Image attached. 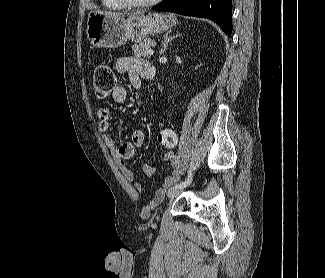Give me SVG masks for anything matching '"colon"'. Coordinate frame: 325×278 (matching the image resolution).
<instances>
[{
    "instance_id": "5ec220e1",
    "label": "colon",
    "mask_w": 325,
    "mask_h": 278,
    "mask_svg": "<svg viewBox=\"0 0 325 278\" xmlns=\"http://www.w3.org/2000/svg\"><path fill=\"white\" fill-rule=\"evenodd\" d=\"M116 86V76L112 68L106 64H100L95 68L93 76V89L95 95L100 99L107 98ZM159 143L167 149L176 146V138L173 130L168 129L166 133L158 134Z\"/></svg>"
}]
</instances>
